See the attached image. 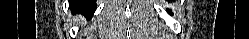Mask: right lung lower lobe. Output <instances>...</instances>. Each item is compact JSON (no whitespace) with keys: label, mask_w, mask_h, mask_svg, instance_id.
I'll list each match as a JSON object with an SVG mask.
<instances>
[{"label":"right lung lower lobe","mask_w":249,"mask_h":39,"mask_svg":"<svg viewBox=\"0 0 249 39\" xmlns=\"http://www.w3.org/2000/svg\"><path fill=\"white\" fill-rule=\"evenodd\" d=\"M72 5L73 8L86 14L87 16H92L93 12L96 10V0H78Z\"/></svg>","instance_id":"98d812e1"}]
</instances>
